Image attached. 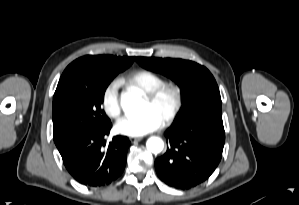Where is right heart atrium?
<instances>
[{"label":"right heart atrium","mask_w":299,"mask_h":205,"mask_svg":"<svg viewBox=\"0 0 299 205\" xmlns=\"http://www.w3.org/2000/svg\"><path fill=\"white\" fill-rule=\"evenodd\" d=\"M118 89L119 81L113 80L105 86L101 95V106L104 112L111 118H117L121 113Z\"/></svg>","instance_id":"1"}]
</instances>
